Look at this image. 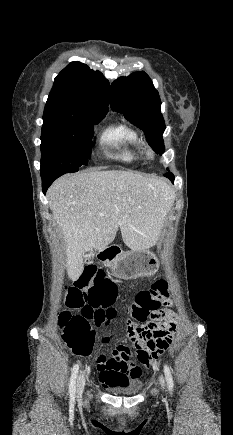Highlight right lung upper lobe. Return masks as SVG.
<instances>
[{"instance_id":"right-lung-upper-lobe-1","label":"right lung upper lobe","mask_w":233,"mask_h":435,"mask_svg":"<svg viewBox=\"0 0 233 435\" xmlns=\"http://www.w3.org/2000/svg\"><path fill=\"white\" fill-rule=\"evenodd\" d=\"M108 105L109 82L101 72L75 61L55 78L43 119L102 116L107 114Z\"/></svg>"}]
</instances>
